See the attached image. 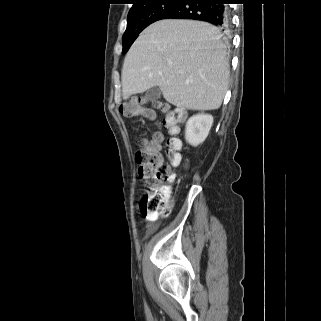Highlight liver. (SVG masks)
Returning a JSON list of instances; mask_svg holds the SVG:
<instances>
[{"label":"liver","instance_id":"liver-1","mask_svg":"<svg viewBox=\"0 0 321 321\" xmlns=\"http://www.w3.org/2000/svg\"><path fill=\"white\" fill-rule=\"evenodd\" d=\"M229 62L219 30L209 23L166 19L148 26L122 69L123 99L158 86L165 100L189 110H215L228 87Z\"/></svg>","mask_w":321,"mask_h":321}]
</instances>
